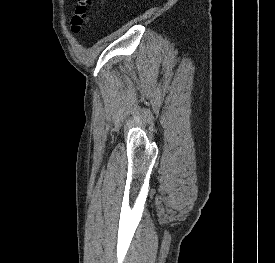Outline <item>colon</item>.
I'll return each instance as SVG.
<instances>
[{
    "label": "colon",
    "instance_id": "5ec220e1",
    "mask_svg": "<svg viewBox=\"0 0 275 263\" xmlns=\"http://www.w3.org/2000/svg\"><path fill=\"white\" fill-rule=\"evenodd\" d=\"M90 4L91 0H77L74 12L71 17V30L75 34L83 31L84 27L90 21Z\"/></svg>",
    "mask_w": 275,
    "mask_h": 263
}]
</instances>
